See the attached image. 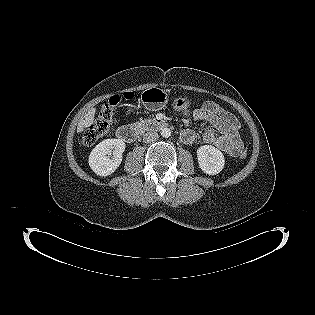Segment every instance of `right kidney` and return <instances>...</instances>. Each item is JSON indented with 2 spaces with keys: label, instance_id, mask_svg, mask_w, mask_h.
<instances>
[{
  "label": "right kidney",
  "instance_id": "1",
  "mask_svg": "<svg viewBox=\"0 0 315 315\" xmlns=\"http://www.w3.org/2000/svg\"><path fill=\"white\" fill-rule=\"evenodd\" d=\"M125 143L120 139H106L100 142L89 155V166L99 176L105 177L119 167Z\"/></svg>",
  "mask_w": 315,
  "mask_h": 315
}]
</instances>
